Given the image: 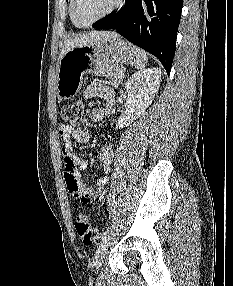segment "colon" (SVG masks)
I'll return each mask as SVG.
<instances>
[{"label":"colon","instance_id":"5ec220e1","mask_svg":"<svg viewBox=\"0 0 233 286\" xmlns=\"http://www.w3.org/2000/svg\"><path fill=\"white\" fill-rule=\"evenodd\" d=\"M84 113V104L75 100L64 104L61 108V116L71 125H79ZM75 229L80 240L85 244L94 243L98 239V232L92 227L87 215L81 213L76 217Z\"/></svg>","mask_w":233,"mask_h":286}]
</instances>
